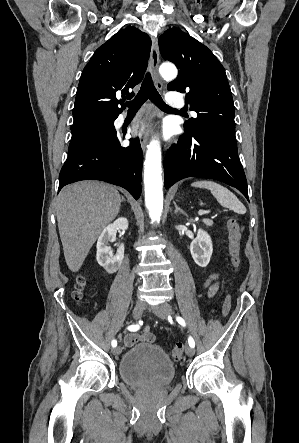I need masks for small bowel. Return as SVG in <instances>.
Masks as SVG:
<instances>
[{"label":"small bowel","instance_id":"small-bowel-1","mask_svg":"<svg viewBox=\"0 0 299 443\" xmlns=\"http://www.w3.org/2000/svg\"><path fill=\"white\" fill-rule=\"evenodd\" d=\"M205 287L208 294L213 295L218 289V277L216 274H211L205 280ZM155 335L151 332L150 326H145L140 333H128L124 337V346L131 347L137 343H153Z\"/></svg>","mask_w":299,"mask_h":443}]
</instances>
